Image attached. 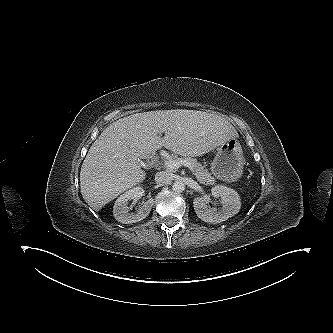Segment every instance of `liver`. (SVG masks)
I'll use <instances>...</instances> for the list:
<instances>
[{
    "instance_id": "liver-1",
    "label": "liver",
    "mask_w": 333,
    "mask_h": 333,
    "mask_svg": "<svg viewBox=\"0 0 333 333\" xmlns=\"http://www.w3.org/2000/svg\"><path fill=\"white\" fill-rule=\"evenodd\" d=\"M165 133L161 138L159 133ZM237 131L214 114L195 110H163L133 114L109 125L90 147L81 167L80 187L95 211L146 176L139 159L165 147L181 156H202Z\"/></svg>"
}]
</instances>
